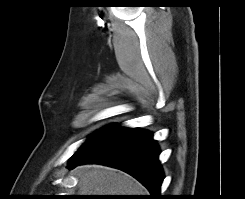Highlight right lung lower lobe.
Instances as JSON below:
<instances>
[{"label":"right lung lower lobe","instance_id":"1","mask_svg":"<svg viewBox=\"0 0 245 199\" xmlns=\"http://www.w3.org/2000/svg\"><path fill=\"white\" fill-rule=\"evenodd\" d=\"M159 148L153 133L137 128L116 127L103 138L76 152L69 168L98 163L123 170L140 181L151 193L148 199H162L164 179Z\"/></svg>","mask_w":245,"mask_h":199}]
</instances>
